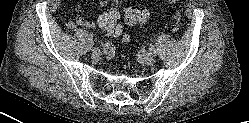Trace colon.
Here are the masks:
<instances>
[{"instance_id":"colon-1","label":"colon","mask_w":249,"mask_h":123,"mask_svg":"<svg viewBox=\"0 0 249 123\" xmlns=\"http://www.w3.org/2000/svg\"><path fill=\"white\" fill-rule=\"evenodd\" d=\"M169 4H179L181 0H164ZM149 10L139 5H132L128 7L124 14V20L129 25L143 26L146 24L149 18ZM182 12L180 8H177L173 13L174 25L173 30L179 29ZM119 14L117 11L110 9L104 12L98 20V23L102 29H104L111 37L125 40L126 34H124L118 25Z\"/></svg>"}]
</instances>
